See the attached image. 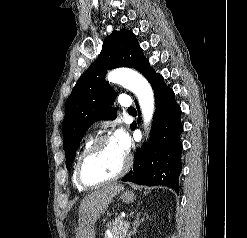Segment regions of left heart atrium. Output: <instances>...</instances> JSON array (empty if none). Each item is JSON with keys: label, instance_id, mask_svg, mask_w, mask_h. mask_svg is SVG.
Segmentation results:
<instances>
[{"label": "left heart atrium", "instance_id": "1", "mask_svg": "<svg viewBox=\"0 0 247 238\" xmlns=\"http://www.w3.org/2000/svg\"><path fill=\"white\" fill-rule=\"evenodd\" d=\"M112 141L122 153L127 155L130 150L131 142L128 133L123 128H118L114 132Z\"/></svg>", "mask_w": 247, "mask_h": 238}]
</instances>
